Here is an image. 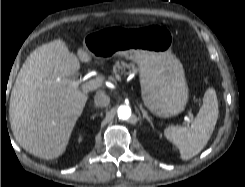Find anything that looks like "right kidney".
Segmentation results:
<instances>
[{"label":"right kidney","mask_w":245,"mask_h":187,"mask_svg":"<svg viewBox=\"0 0 245 187\" xmlns=\"http://www.w3.org/2000/svg\"><path fill=\"white\" fill-rule=\"evenodd\" d=\"M78 140H79V142H80V141L82 140V137H81V136H79V139H78Z\"/></svg>","instance_id":"1"}]
</instances>
